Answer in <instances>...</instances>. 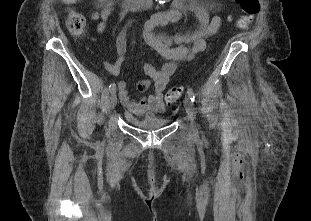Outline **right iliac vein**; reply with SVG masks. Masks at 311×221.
Here are the masks:
<instances>
[{
    "label": "right iliac vein",
    "instance_id": "right-iliac-vein-1",
    "mask_svg": "<svg viewBox=\"0 0 311 221\" xmlns=\"http://www.w3.org/2000/svg\"><path fill=\"white\" fill-rule=\"evenodd\" d=\"M109 104L111 109H114L117 104V95L115 91L111 92V95L109 97Z\"/></svg>",
    "mask_w": 311,
    "mask_h": 221
}]
</instances>
